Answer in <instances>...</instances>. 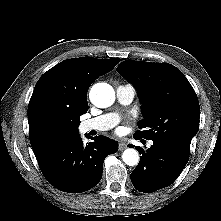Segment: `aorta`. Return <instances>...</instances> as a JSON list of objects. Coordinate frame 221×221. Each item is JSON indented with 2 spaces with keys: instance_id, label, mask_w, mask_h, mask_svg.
Instances as JSON below:
<instances>
[{
  "instance_id": "aorta-1",
  "label": "aorta",
  "mask_w": 221,
  "mask_h": 221,
  "mask_svg": "<svg viewBox=\"0 0 221 221\" xmlns=\"http://www.w3.org/2000/svg\"><path fill=\"white\" fill-rule=\"evenodd\" d=\"M89 98L92 104L99 108H106L113 104L115 100V92L112 86L107 83L94 84L89 92ZM122 159L128 166H136L139 163V153L133 148H127Z\"/></svg>"
}]
</instances>
